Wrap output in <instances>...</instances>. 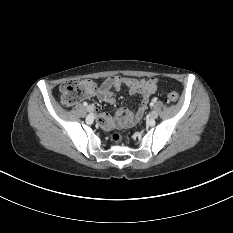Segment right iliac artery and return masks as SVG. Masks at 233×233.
I'll return each instance as SVG.
<instances>
[{
    "label": "right iliac artery",
    "instance_id": "1",
    "mask_svg": "<svg viewBox=\"0 0 233 233\" xmlns=\"http://www.w3.org/2000/svg\"><path fill=\"white\" fill-rule=\"evenodd\" d=\"M83 105H84V106H87L88 104H87V102H84Z\"/></svg>",
    "mask_w": 233,
    "mask_h": 233
}]
</instances>
